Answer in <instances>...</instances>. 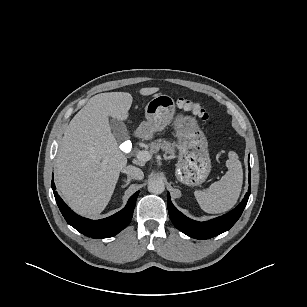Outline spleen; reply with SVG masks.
Wrapping results in <instances>:
<instances>
[{"label": "spleen", "mask_w": 307, "mask_h": 307, "mask_svg": "<svg viewBox=\"0 0 307 307\" xmlns=\"http://www.w3.org/2000/svg\"><path fill=\"white\" fill-rule=\"evenodd\" d=\"M228 157L226 174L207 190L194 192L197 202L206 213H224L233 208L239 198L243 183L242 165L236 152L230 151Z\"/></svg>", "instance_id": "obj_1"}]
</instances>
